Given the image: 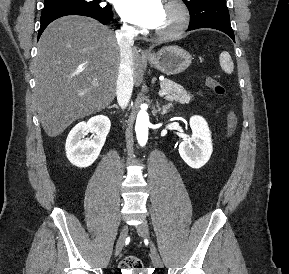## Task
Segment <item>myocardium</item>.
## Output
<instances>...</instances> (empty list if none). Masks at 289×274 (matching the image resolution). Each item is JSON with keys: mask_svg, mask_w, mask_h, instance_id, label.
Listing matches in <instances>:
<instances>
[{"mask_svg": "<svg viewBox=\"0 0 289 274\" xmlns=\"http://www.w3.org/2000/svg\"><path fill=\"white\" fill-rule=\"evenodd\" d=\"M165 7L176 11L177 22L168 29H156L155 35L163 39H170L180 35L186 30L190 21V13L188 7L182 0H167Z\"/></svg>", "mask_w": 289, "mask_h": 274, "instance_id": "f54148a6", "label": "myocardium"}]
</instances>
